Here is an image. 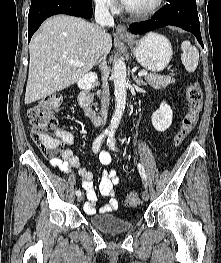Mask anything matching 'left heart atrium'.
Masks as SVG:
<instances>
[{"label": "left heart atrium", "instance_id": "left-heart-atrium-1", "mask_svg": "<svg viewBox=\"0 0 221 263\" xmlns=\"http://www.w3.org/2000/svg\"><path fill=\"white\" fill-rule=\"evenodd\" d=\"M122 1L125 2V3L127 2V0H122Z\"/></svg>", "mask_w": 221, "mask_h": 263}]
</instances>
